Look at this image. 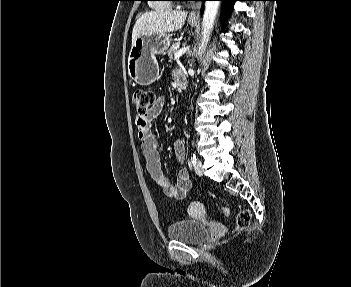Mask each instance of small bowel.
<instances>
[{
    "mask_svg": "<svg viewBox=\"0 0 351 287\" xmlns=\"http://www.w3.org/2000/svg\"><path fill=\"white\" fill-rule=\"evenodd\" d=\"M164 105L165 98L158 96L154 105L145 116L136 117L137 135L141 141V153L146 168L153 180L162 188L166 196L174 199H183L192 186L189 171L186 168L179 169L175 183L164 174L161 165L159 140L151 131V121L161 113ZM174 152L177 162L183 163L185 159V145L183 141L178 140L175 142Z\"/></svg>",
    "mask_w": 351,
    "mask_h": 287,
    "instance_id": "obj_1",
    "label": "small bowel"
}]
</instances>
